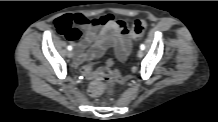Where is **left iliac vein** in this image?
<instances>
[{"label":"left iliac vein","instance_id":"4c4485c4","mask_svg":"<svg viewBox=\"0 0 218 122\" xmlns=\"http://www.w3.org/2000/svg\"><path fill=\"white\" fill-rule=\"evenodd\" d=\"M143 51L140 49V50H138V53H137V56L139 57V58H142L143 57Z\"/></svg>","mask_w":218,"mask_h":122}]
</instances>
